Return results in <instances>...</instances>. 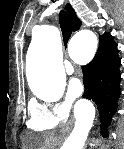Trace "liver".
<instances>
[{
    "instance_id": "obj_1",
    "label": "liver",
    "mask_w": 124,
    "mask_h": 149,
    "mask_svg": "<svg viewBox=\"0 0 124 149\" xmlns=\"http://www.w3.org/2000/svg\"><path fill=\"white\" fill-rule=\"evenodd\" d=\"M26 140L29 147L34 149H53L57 145V140L53 134L29 135Z\"/></svg>"
}]
</instances>
